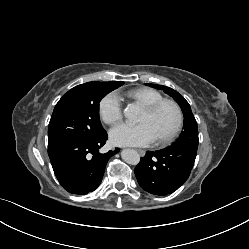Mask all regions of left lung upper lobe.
<instances>
[{"label":"left lung upper lobe","mask_w":249,"mask_h":249,"mask_svg":"<svg viewBox=\"0 0 249 249\" xmlns=\"http://www.w3.org/2000/svg\"><path fill=\"white\" fill-rule=\"evenodd\" d=\"M151 87L162 89L165 93L169 94L175 99V101L180 105L182 112L184 114V125L183 131L181 132L180 137L174 142L170 147H198V128L195 117L191 111L189 103L175 90L172 88L156 85V84H147Z\"/></svg>","instance_id":"obj_1"}]
</instances>
